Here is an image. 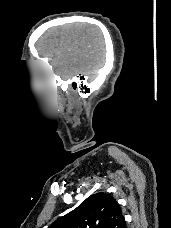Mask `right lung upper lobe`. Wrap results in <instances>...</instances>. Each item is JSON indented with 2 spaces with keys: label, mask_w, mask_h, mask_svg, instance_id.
Here are the masks:
<instances>
[{
  "label": "right lung upper lobe",
  "mask_w": 171,
  "mask_h": 228,
  "mask_svg": "<svg viewBox=\"0 0 171 228\" xmlns=\"http://www.w3.org/2000/svg\"><path fill=\"white\" fill-rule=\"evenodd\" d=\"M48 228H126L118 202L104 192L89 196Z\"/></svg>",
  "instance_id": "right-lung-upper-lobe-1"
}]
</instances>
